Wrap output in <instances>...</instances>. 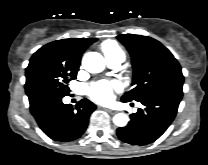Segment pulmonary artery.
<instances>
[{"label":"pulmonary artery","mask_w":208,"mask_h":165,"mask_svg":"<svg viewBox=\"0 0 208 165\" xmlns=\"http://www.w3.org/2000/svg\"><path fill=\"white\" fill-rule=\"evenodd\" d=\"M106 61L110 67L118 68L123 60L120 57L113 56V57L106 58Z\"/></svg>","instance_id":"obj_1"}]
</instances>
